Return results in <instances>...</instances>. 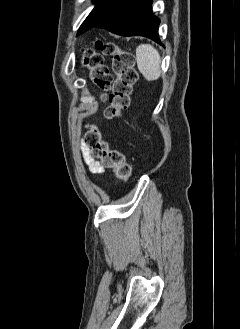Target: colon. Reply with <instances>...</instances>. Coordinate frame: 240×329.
<instances>
[{
    "label": "colon",
    "instance_id": "obj_1",
    "mask_svg": "<svg viewBox=\"0 0 240 329\" xmlns=\"http://www.w3.org/2000/svg\"><path fill=\"white\" fill-rule=\"evenodd\" d=\"M97 48L112 55V71L116 78L113 79L106 68L103 56L90 47L82 48V63L89 68L94 84L102 91H109L106 116L114 118L130 104L133 85L137 80L135 59L131 52L122 50L111 42L99 41ZM84 143L89 148L90 155L99 159L103 166L111 168L117 178L122 181L130 178L132 169L125 156L120 150L109 146L97 126L88 127Z\"/></svg>",
    "mask_w": 240,
    "mask_h": 329
}]
</instances>
